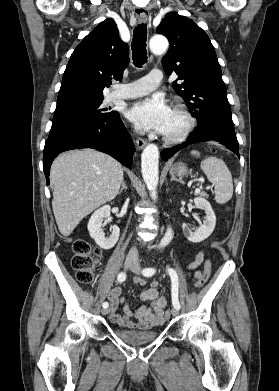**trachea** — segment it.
Here are the masks:
<instances>
[{"label":"trachea","instance_id":"3493384b","mask_svg":"<svg viewBox=\"0 0 279 391\" xmlns=\"http://www.w3.org/2000/svg\"><path fill=\"white\" fill-rule=\"evenodd\" d=\"M146 40V25L144 23L137 25L133 32V40L131 44L133 63L137 67H141L147 62Z\"/></svg>","mask_w":279,"mask_h":391}]
</instances>
